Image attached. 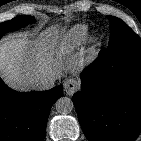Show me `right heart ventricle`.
<instances>
[{"instance_id": "obj_1", "label": "right heart ventricle", "mask_w": 141, "mask_h": 141, "mask_svg": "<svg viewBox=\"0 0 141 141\" xmlns=\"http://www.w3.org/2000/svg\"><path fill=\"white\" fill-rule=\"evenodd\" d=\"M89 30L85 25L72 27L63 37L59 45V52L62 55H69L84 45L88 39Z\"/></svg>"}]
</instances>
